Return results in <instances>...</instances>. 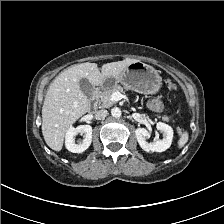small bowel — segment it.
<instances>
[{
    "instance_id": "obj_1",
    "label": "small bowel",
    "mask_w": 224,
    "mask_h": 224,
    "mask_svg": "<svg viewBox=\"0 0 224 224\" xmlns=\"http://www.w3.org/2000/svg\"><path fill=\"white\" fill-rule=\"evenodd\" d=\"M150 106H151V108H153V109H158V108H159L158 104L155 103V102L150 103Z\"/></svg>"
}]
</instances>
